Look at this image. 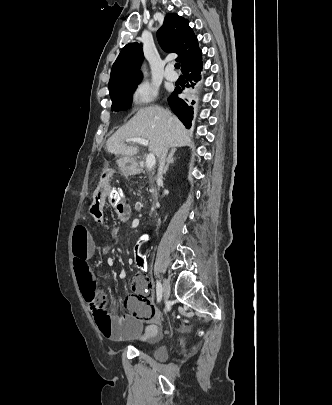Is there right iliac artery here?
<instances>
[{
    "instance_id": "1",
    "label": "right iliac artery",
    "mask_w": 332,
    "mask_h": 405,
    "mask_svg": "<svg viewBox=\"0 0 332 405\" xmlns=\"http://www.w3.org/2000/svg\"><path fill=\"white\" fill-rule=\"evenodd\" d=\"M157 302H160L163 295L162 285L159 281L156 283Z\"/></svg>"
}]
</instances>
